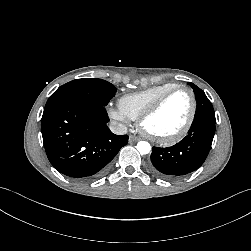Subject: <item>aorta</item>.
I'll return each instance as SVG.
<instances>
[{"label": "aorta", "instance_id": "obj_1", "mask_svg": "<svg viewBox=\"0 0 251 251\" xmlns=\"http://www.w3.org/2000/svg\"><path fill=\"white\" fill-rule=\"evenodd\" d=\"M137 150L141 154H148L150 152V150H151V146L146 141H140V142L137 143Z\"/></svg>", "mask_w": 251, "mask_h": 251}]
</instances>
